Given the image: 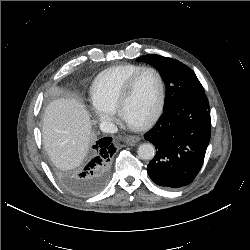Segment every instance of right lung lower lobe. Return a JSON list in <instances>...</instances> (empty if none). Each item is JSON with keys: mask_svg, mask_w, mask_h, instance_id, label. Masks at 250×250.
I'll list each match as a JSON object with an SVG mask.
<instances>
[{"mask_svg": "<svg viewBox=\"0 0 250 250\" xmlns=\"http://www.w3.org/2000/svg\"><path fill=\"white\" fill-rule=\"evenodd\" d=\"M91 161L74 180V188L81 196H92L100 192L109 178L110 160L116 152L111 137H104L93 146Z\"/></svg>", "mask_w": 250, "mask_h": 250, "instance_id": "obj_1", "label": "right lung lower lobe"}]
</instances>
